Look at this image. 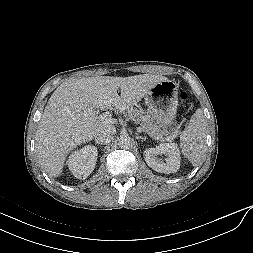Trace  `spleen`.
Here are the masks:
<instances>
[{
  "instance_id": "spleen-1",
  "label": "spleen",
  "mask_w": 253,
  "mask_h": 253,
  "mask_svg": "<svg viewBox=\"0 0 253 253\" xmlns=\"http://www.w3.org/2000/svg\"><path fill=\"white\" fill-rule=\"evenodd\" d=\"M206 124L201 109H197L191 116L188 126L180 136V148L183 155L198 166L202 163L205 153Z\"/></svg>"
}]
</instances>
